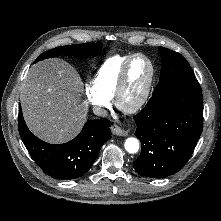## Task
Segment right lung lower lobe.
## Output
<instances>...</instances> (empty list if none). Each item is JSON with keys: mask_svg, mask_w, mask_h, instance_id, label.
Instances as JSON below:
<instances>
[{"mask_svg": "<svg viewBox=\"0 0 221 221\" xmlns=\"http://www.w3.org/2000/svg\"><path fill=\"white\" fill-rule=\"evenodd\" d=\"M107 120H89L73 140L54 145L45 143L27 128L19 107L18 129L29 154L37 165L49 176L76 179L83 176L99 155L102 145L111 138Z\"/></svg>", "mask_w": 221, "mask_h": 221, "instance_id": "98d812e1", "label": "right lung lower lobe"}]
</instances>
